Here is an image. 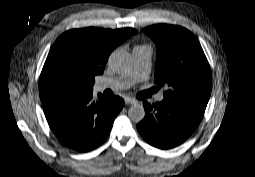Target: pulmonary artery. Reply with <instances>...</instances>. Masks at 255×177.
<instances>
[{"label":"pulmonary artery","mask_w":255,"mask_h":177,"mask_svg":"<svg viewBox=\"0 0 255 177\" xmlns=\"http://www.w3.org/2000/svg\"><path fill=\"white\" fill-rule=\"evenodd\" d=\"M133 59L134 64L131 69L120 76L102 80L97 83L96 90H122L147 78L151 71V49L148 46L134 47ZM163 98L164 95L161 93L157 96V101L161 102Z\"/></svg>","instance_id":"e3ab8cb5"}]
</instances>
